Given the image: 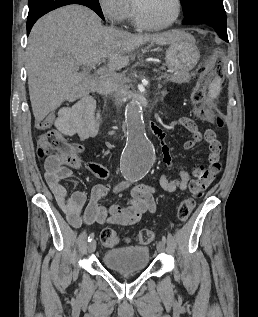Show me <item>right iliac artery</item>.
<instances>
[{"instance_id": "1", "label": "right iliac artery", "mask_w": 258, "mask_h": 317, "mask_svg": "<svg viewBox=\"0 0 258 317\" xmlns=\"http://www.w3.org/2000/svg\"><path fill=\"white\" fill-rule=\"evenodd\" d=\"M132 181H133V178H126L125 182H121L117 186H115L114 191L118 192V191L128 187ZM93 238H94V233L92 232L89 234L87 241L91 242L93 240Z\"/></svg>"}]
</instances>
